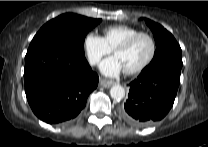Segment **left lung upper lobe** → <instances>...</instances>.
<instances>
[{
  "label": "left lung upper lobe",
  "instance_id": "left-lung-upper-lobe-1",
  "mask_svg": "<svg viewBox=\"0 0 208 147\" xmlns=\"http://www.w3.org/2000/svg\"><path fill=\"white\" fill-rule=\"evenodd\" d=\"M145 21L153 32L157 47L153 60L145 68L154 66L163 61H171L182 65V51L173 35L162 25L149 19H145Z\"/></svg>",
  "mask_w": 208,
  "mask_h": 147
}]
</instances>
